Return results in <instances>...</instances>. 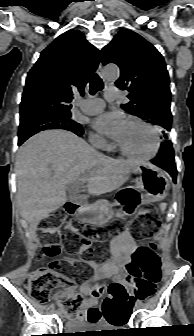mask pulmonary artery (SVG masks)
Here are the masks:
<instances>
[{
  "label": "pulmonary artery",
  "instance_id": "1",
  "mask_svg": "<svg viewBox=\"0 0 194 336\" xmlns=\"http://www.w3.org/2000/svg\"><path fill=\"white\" fill-rule=\"evenodd\" d=\"M118 90L115 87H109L105 91V99L108 101H113L118 98ZM79 107L81 111L85 114H96L103 110L105 107L104 100L100 98L93 99H80L78 100Z\"/></svg>",
  "mask_w": 194,
  "mask_h": 336
}]
</instances>
